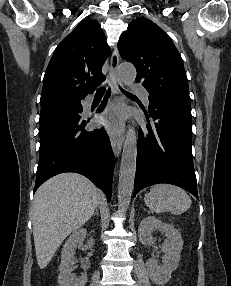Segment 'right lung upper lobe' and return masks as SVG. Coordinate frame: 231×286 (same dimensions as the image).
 Returning a JSON list of instances; mask_svg holds the SVG:
<instances>
[{"label":"right lung upper lobe","mask_w":231,"mask_h":286,"mask_svg":"<svg viewBox=\"0 0 231 286\" xmlns=\"http://www.w3.org/2000/svg\"><path fill=\"white\" fill-rule=\"evenodd\" d=\"M110 48L99 23L83 20L59 43L43 79L41 108L70 103L105 80L102 66Z\"/></svg>","instance_id":"1"}]
</instances>
